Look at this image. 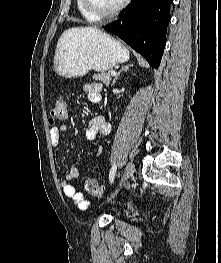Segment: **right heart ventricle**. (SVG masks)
<instances>
[{"instance_id":"1","label":"right heart ventricle","mask_w":221,"mask_h":263,"mask_svg":"<svg viewBox=\"0 0 221 263\" xmlns=\"http://www.w3.org/2000/svg\"><path fill=\"white\" fill-rule=\"evenodd\" d=\"M77 8L80 14L89 21H94L95 19L84 9L82 0H77Z\"/></svg>"}]
</instances>
